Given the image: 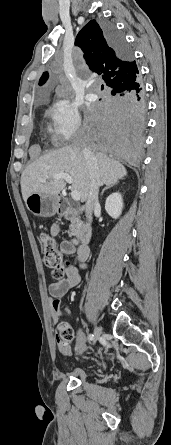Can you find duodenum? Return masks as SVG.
<instances>
[{"instance_id": "obj_1", "label": "duodenum", "mask_w": 171, "mask_h": 445, "mask_svg": "<svg viewBox=\"0 0 171 445\" xmlns=\"http://www.w3.org/2000/svg\"><path fill=\"white\" fill-rule=\"evenodd\" d=\"M85 212H87L86 208H72L65 197L59 196L57 201V213L59 216L80 217ZM91 236L92 223L89 221L81 222L77 235L78 240L81 242V245L85 246V244L90 240Z\"/></svg>"}]
</instances>
